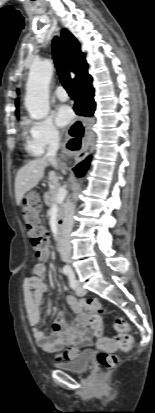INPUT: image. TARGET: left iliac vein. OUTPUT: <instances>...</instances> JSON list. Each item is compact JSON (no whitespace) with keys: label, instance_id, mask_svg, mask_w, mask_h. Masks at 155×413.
Here are the masks:
<instances>
[{"label":"left iliac vein","instance_id":"4c4485c4","mask_svg":"<svg viewBox=\"0 0 155 413\" xmlns=\"http://www.w3.org/2000/svg\"><path fill=\"white\" fill-rule=\"evenodd\" d=\"M75 292L78 296H84L86 294L85 289L81 286L79 282H77Z\"/></svg>","mask_w":155,"mask_h":413}]
</instances>
